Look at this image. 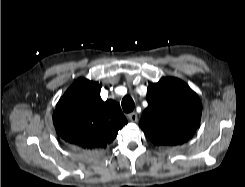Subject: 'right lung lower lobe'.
I'll use <instances>...</instances> for the list:
<instances>
[{
    "mask_svg": "<svg viewBox=\"0 0 245 187\" xmlns=\"http://www.w3.org/2000/svg\"><path fill=\"white\" fill-rule=\"evenodd\" d=\"M74 149H76V150H78V151H80V152H83V153H88V152H89V151L82 150V149H77V148H74Z\"/></svg>",
    "mask_w": 245,
    "mask_h": 187,
    "instance_id": "obj_1",
    "label": "right lung lower lobe"
}]
</instances>
